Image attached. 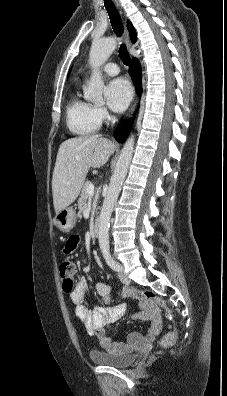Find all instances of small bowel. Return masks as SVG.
<instances>
[{"label": "small bowel", "instance_id": "1", "mask_svg": "<svg viewBox=\"0 0 227 396\" xmlns=\"http://www.w3.org/2000/svg\"><path fill=\"white\" fill-rule=\"evenodd\" d=\"M78 244V237L74 236L69 239L65 246V253H71ZM96 291L104 302L110 303L111 287L105 282H98L96 284ZM140 292L127 289L123 292V296L131 297L132 294ZM87 283L84 277L79 278L74 290L71 292L70 298L75 305L76 317L85 325L88 333L95 336L101 346L108 351H115L123 348L125 345H138L147 339H153L159 335L161 331V318L156 307L146 299H138L140 311L134 315V319L147 320L149 322L147 335L139 332H131L128 334L127 343L118 342L109 337L106 332L108 327L123 318L126 312V307L123 304L114 305L110 307L98 306L94 309H89L86 304Z\"/></svg>", "mask_w": 227, "mask_h": 396}]
</instances>
